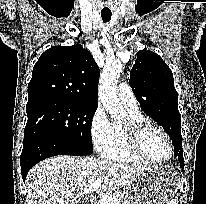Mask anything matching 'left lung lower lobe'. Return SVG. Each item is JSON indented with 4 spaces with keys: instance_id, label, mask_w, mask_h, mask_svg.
<instances>
[{
    "instance_id": "0a47b994",
    "label": "left lung lower lobe",
    "mask_w": 206,
    "mask_h": 204,
    "mask_svg": "<svg viewBox=\"0 0 206 204\" xmlns=\"http://www.w3.org/2000/svg\"><path fill=\"white\" fill-rule=\"evenodd\" d=\"M175 155L178 157V160L180 162V165L182 168H184V158H183V151H180L178 153H175Z\"/></svg>"
}]
</instances>
